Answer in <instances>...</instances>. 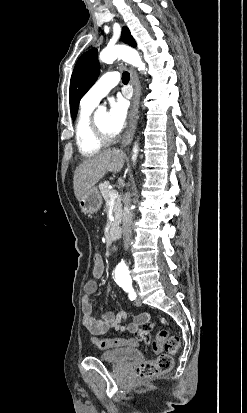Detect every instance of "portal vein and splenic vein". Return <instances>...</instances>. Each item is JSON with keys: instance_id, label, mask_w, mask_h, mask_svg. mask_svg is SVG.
<instances>
[{"instance_id": "obj_1", "label": "portal vein and splenic vein", "mask_w": 247, "mask_h": 413, "mask_svg": "<svg viewBox=\"0 0 247 413\" xmlns=\"http://www.w3.org/2000/svg\"><path fill=\"white\" fill-rule=\"evenodd\" d=\"M110 198H117L119 196L117 190H109Z\"/></svg>"}]
</instances>
